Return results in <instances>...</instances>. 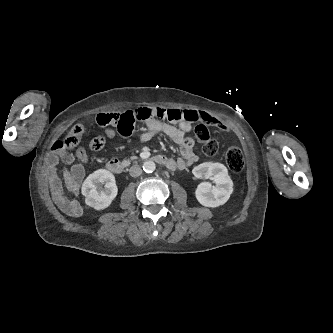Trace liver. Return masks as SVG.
<instances>
[{
  "label": "liver",
  "instance_id": "6515ba94",
  "mask_svg": "<svg viewBox=\"0 0 333 333\" xmlns=\"http://www.w3.org/2000/svg\"><path fill=\"white\" fill-rule=\"evenodd\" d=\"M63 176L67 189L69 191H75L78 185L75 183L73 176L66 168L63 170Z\"/></svg>",
  "mask_w": 333,
  "mask_h": 333
}]
</instances>
